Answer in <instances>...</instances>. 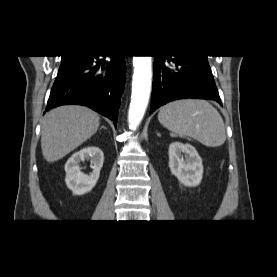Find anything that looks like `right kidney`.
<instances>
[{
  "label": "right kidney",
  "mask_w": 277,
  "mask_h": 277,
  "mask_svg": "<svg viewBox=\"0 0 277 277\" xmlns=\"http://www.w3.org/2000/svg\"><path fill=\"white\" fill-rule=\"evenodd\" d=\"M85 159L91 162L93 169L90 175L80 171L79 163ZM104 154L98 147H87L74 153L65 164V182L67 187L75 195H83L90 192L97 183L100 176V170L103 166Z\"/></svg>",
  "instance_id": "obj_1"
}]
</instances>
